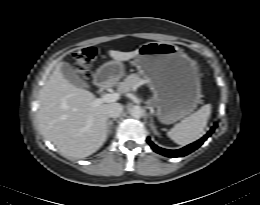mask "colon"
Masks as SVG:
<instances>
[{
    "label": "colon",
    "instance_id": "1",
    "mask_svg": "<svg viewBox=\"0 0 260 205\" xmlns=\"http://www.w3.org/2000/svg\"><path fill=\"white\" fill-rule=\"evenodd\" d=\"M97 56V49L94 46L86 47L75 53V71L81 75L85 76L89 68Z\"/></svg>",
    "mask_w": 260,
    "mask_h": 205
}]
</instances>
